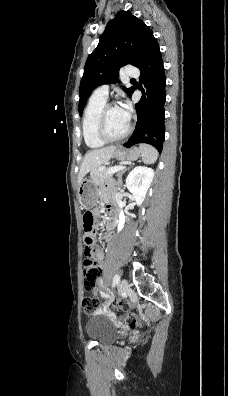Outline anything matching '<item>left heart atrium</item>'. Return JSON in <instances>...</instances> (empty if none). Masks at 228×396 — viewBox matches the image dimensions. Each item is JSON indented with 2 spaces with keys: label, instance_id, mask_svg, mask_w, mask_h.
I'll list each match as a JSON object with an SVG mask.
<instances>
[{
  "label": "left heart atrium",
  "instance_id": "39dd6f15",
  "mask_svg": "<svg viewBox=\"0 0 228 396\" xmlns=\"http://www.w3.org/2000/svg\"><path fill=\"white\" fill-rule=\"evenodd\" d=\"M119 109L122 113V115L124 116V118L128 121L130 118V113H131V108L130 105L127 101H122Z\"/></svg>",
  "mask_w": 228,
  "mask_h": 396
}]
</instances>
